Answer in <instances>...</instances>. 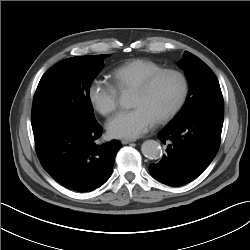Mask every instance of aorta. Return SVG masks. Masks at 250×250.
<instances>
[{"label":"aorta","mask_w":250,"mask_h":250,"mask_svg":"<svg viewBox=\"0 0 250 250\" xmlns=\"http://www.w3.org/2000/svg\"><path fill=\"white\" fill-rule=\"evenodd\" d=\"M130 97L128 95H122L120 98V104L123 107L130 106ZM141 151L143 155L149 159H159L162 155V148L160 144L155 140H146L141 145Z\"/></svg>","instance_id":"aorta-1"}]
</instances>
